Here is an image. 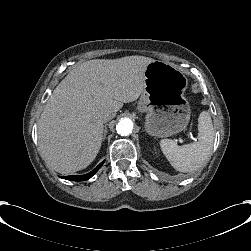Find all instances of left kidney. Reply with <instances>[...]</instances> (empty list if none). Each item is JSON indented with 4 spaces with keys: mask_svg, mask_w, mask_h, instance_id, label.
Here are the masks:
<instances>
[{
    "mask_svg": "<svg viewBox=\"0 0 251 251\" xmlns=\"http://www.w3.org/2000/svg\"><path fill=\"white\" fill-rule=\"evenodd\" d=\"M153 151H154V154L157 156V157H160V151L159 149L156 147V146H153Z\"/></svg>",
    "mask_w": 251,
    "mask_h": 251,
    "instance_id": "5707ae66",
    "label": "left kidney"
}]
</instances>
